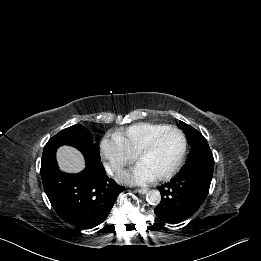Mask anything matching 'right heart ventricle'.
<instances>
[{
    "mask_svg": "<svg viewBox=\"0 0 261 261\" xmlns=\"http://www.w3.org/2000/svg\"><path fill=\"white\" fill-rule=\"evenodd\" d=\"M167 127L164 124L141 122L121 129L113 136L130 154L136 155L151 137Z\"/></svg>",
    "mask_w": 261,
    "mask_h": 261,
    "instance_id": "obj_1",
    "label": "right heart ventricle"
}]
</instances>
